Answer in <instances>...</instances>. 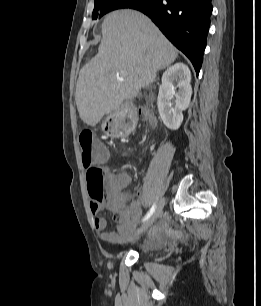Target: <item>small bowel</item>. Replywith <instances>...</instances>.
<instances>
[{
	"label": "small bowel",
	"mask_w": 261,
	"mask_h": 306,
	"mask_svg": "<svg viewBox=\"0 0 261 306\" xmlns=\"http://www.w3.org/2000/svg\"><path fill=\"white\" fill-rule=\"evenodd\" d=\"M130 181V176L125 171L113 175L107 186L105 201L103 203L92 202L90 204V210L95 215L94 227L100 234L102 241L108 246L128 241L135 224L141 217L140 201H129L124 195V190L128 187ZM104 208L109 209L114 216V228L111 230H107L108 222L106 219L96 216Z\"/></svg>",
	"instance_id": "small-bowel-1"
}]
</instances>
